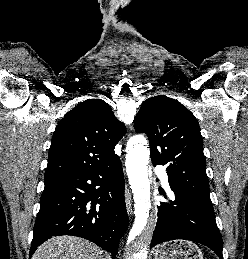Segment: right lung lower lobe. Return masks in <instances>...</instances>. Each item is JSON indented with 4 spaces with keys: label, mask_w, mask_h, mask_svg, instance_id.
Listing matches in <instances>:
<instances>
[{
    "label": "right lung lower lobe",
    "mask_w": 248,
    "mask_h": 259,
    "mask_svg": "<svg viewBox=\"0 0 248 259\" xmlns=\"http://www.w3.org/2000/svg\"><path fill=\"white\" fill-rule=\"evenodd\" d=\"M128 227L119 157L107 164L45 180L34 225L30 258L52 236L73 235L112 253Z\"/></svg>",
    "instance_id": "98d812e1"
}]
</instances>
